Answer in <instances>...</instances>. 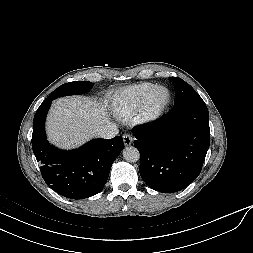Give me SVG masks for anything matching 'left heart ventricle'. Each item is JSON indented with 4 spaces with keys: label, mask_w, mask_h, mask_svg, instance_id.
Instances as JSON below:
<instances>
[{
    "label": "left heart ventricle",
    "mask_w": 253,
    "mask_h": 253,
    "mask_svg": "<svg viewBox=\"0 0 253 253\" xmlns=\"http://www.w3.org/2000/svg\"><path fill=\"white\" fill-rule=\"evenodd\" d=\"M167 98V92L163 89L158 90L152 99V105L153 107H158L162 105Z\"/></svg>",
    "instance_id": "left-heart-ventricle-1"
}]
</instances>
